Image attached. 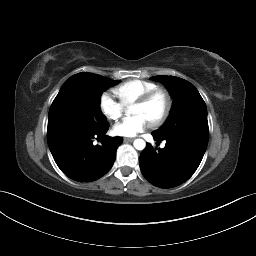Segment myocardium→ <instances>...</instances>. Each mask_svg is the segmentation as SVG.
<instances>
[{
	"label": "myocardium",
	"instance_id": "1",
	"mask_svg": "<svg viewBox=\"0 0 256 256\" xmlns=\"http://www.w3.org/2000/svg\"><path fill=\"white\" fill-rule=\"evenodd\" d=\"M158 96H161L164 98L165 107H164V110L161 113V115H159L156 119H153L150 121V124L152 126L161 125L162 123H164L166 121V119L170 115V112H171L172 106H173V99H172L170 93L167 90L158 87L156 89L148 91L147 93L142 95L139 99H137L135 102V104H137V105L145 106V105H148L149 103H151Z\"/></svg>",
	"mask_w": 256,
	"mask_h": 256
}]
</instances>
